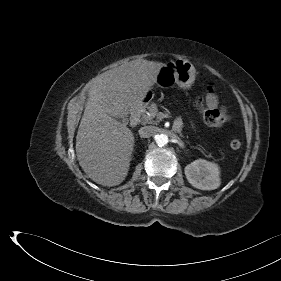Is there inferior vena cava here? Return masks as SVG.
<instances>
[{"label": "inferior vena cava", "instance_id": "1", "mask_svg": "<svg viewBox=\"0 0 281 281\" xmlns=\"http://www.w3.org/2000/svg\"><path fill=\"white\" fill-rule=\"evenodd\" d=\"M156 133V128L154 126H144L139 130V135L141 138H149Z\"/></svg>", "mask_w": 281, "mask_h": 281}]
</instances>
